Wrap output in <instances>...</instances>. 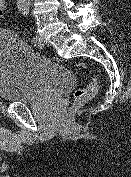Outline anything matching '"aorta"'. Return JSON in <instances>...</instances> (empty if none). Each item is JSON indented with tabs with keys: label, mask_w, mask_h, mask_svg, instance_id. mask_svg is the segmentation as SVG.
I'll use <instances>...</instances> for the list:
<instances>
[{
	"label": "aorta",
	"mask_w": 131,
	"mask_h": 177,
	"mask_svg": "<svg viewBox=\"0 0 131 177\" xmlns=\"http://www.w3.org/2000/svg\"><path fill=\"white\" fill-rule=\"evenodd\" d=\"M17 2L20 4H29L30 0H17Z\"/></svg>",
	"instance_id": "aorta-1"
}]
</instances>
